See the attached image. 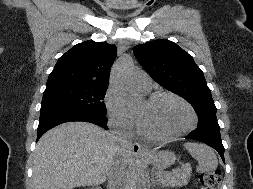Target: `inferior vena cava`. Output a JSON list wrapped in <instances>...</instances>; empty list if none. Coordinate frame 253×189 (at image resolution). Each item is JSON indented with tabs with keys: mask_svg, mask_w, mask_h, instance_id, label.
Listing matches in <instances>:
<instances>
[{
	"mask_svg": "<svg viewBox=\"0 0 253 189\" xmlns=\"http://www.w3.org/2000/svg\"><path fill=\"white\" fill-rule=\"evenodd\" d=\"M113 138L117 143L119 150L114 154L116 160L109 169L108 176V189H119L126 174V164L121 161L127 153L131 152L132 142L130 137L119 129L112 131Z\"/></svg>",
	"mask_w": 253,
	"mask_h": 189,
	"instance_id": "obj_1",
	"label": "inferior vena cava"
}]
</instances>
